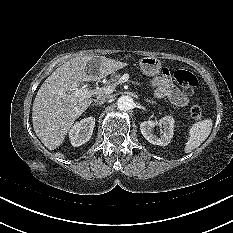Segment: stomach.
I'll return each instance as SVG.
<instances>
[{
	"instance_id": "0dacf381",
	"label": "stomach",
	"mask_w": 233,
	"mask_h": 233,
	"mask_svg": "<svg viewBox=\"0 0 233 233\" xmlns=\"http://www.w3.org/2000/svg\"><path fill=\"white\" fill-rule=\"evenodd\" d=\"M142 72L147 76H154L161 70V62L153 56L144 57L139 61Z\"/></svg>"
}]
</instances>
